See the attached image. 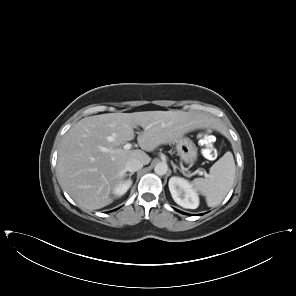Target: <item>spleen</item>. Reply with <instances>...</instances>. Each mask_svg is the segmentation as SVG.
Returning a JSON list of instances; mask_svg holds the SVG:
<instances>
[{
  "label": "spleen",
  "mask_w": 296,
  "mask_h": 296,
  "mask_svg": "<svg viewBox=\"0 0 296 296\" xmlns=\"http://www.w3.org/2000/svg\"><path fill=\"white\" fill-rule=\"evenodd\" d=\"M235 177V162L233 155L227 151L209 171L207 178H196L192 185L206 197L209 207L219 205L232 187Z\"/></svg>",
  "instance_id": "spleen-1"
}]
</instances>
